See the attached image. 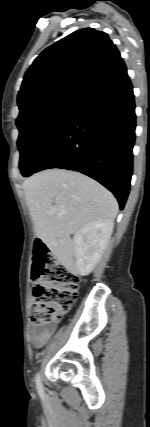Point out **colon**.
<instances>
[{"label":"colon","mask_w":150,"mask_h":427,"mask_svg":"<svg viewBox=\"0 0 150 427\" xmlns=\"http://www.w3.org/2000/svg\"><path fill=\"white\" fill-rule=\"evenodd\" d=\"M36 285L30 291V320L36 326L59 322L77 296L79 277L50 253L41 240L34 242L32 269Z\"/></svg>","instance_id":"obj_1"}]
</instances>
